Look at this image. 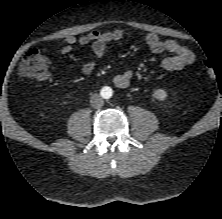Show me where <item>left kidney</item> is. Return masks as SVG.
Here are the masks:
<instances>
[{
	"mask_svg": "<svg viewBox=\"0 0 222 219\" xmlns=\"http://www.w3.org/2000/svg\"><path fill=\"white\" fill-rule=\"evenodd\" d=\"M153 96L159 101H164L167 99L168 94L164 89H156L153 92Z\"/></svg>",
	"mask_w": 222,
	"mask_h": 219,
	"instance_id": "obj_1",
	"label": "left kidney"
}]
</instances>
